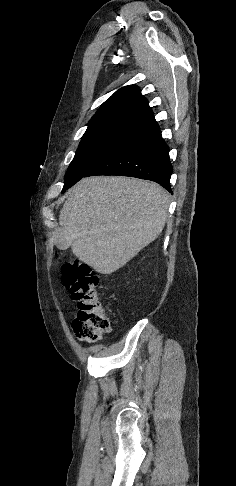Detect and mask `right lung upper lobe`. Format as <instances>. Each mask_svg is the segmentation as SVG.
I'll use <instances>...</instances> for the list:
<instances>
[{
  "label": "right lung upper lobe",
  "instance_id": "obj_1",
  "mask_svg": "<svg viewBox=\"0 0 236 486\" xmlns=\"http://www.w3.org/2000/svg\"><path fill=\"white\" fill-rule=\"evenodd\" d=\"M152 115L140 89L136 85H129L116 91L101 105L89 121L87 131L114 125H141Z\"/></svg>",
  "mask_w": 236,
  "mask_h": 486
}]
</instances>
